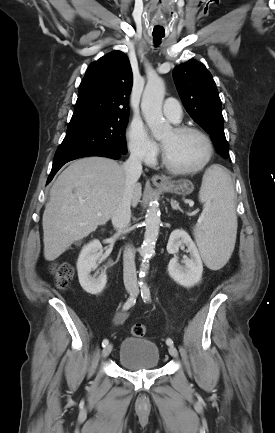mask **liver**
<instances>
[{"mask_svg": "<svg viewBox=\"0 0 275 433\" xmlns=\"http://www.w3.org/2000/svg\"><path fill=\"white\" fill-rule=\"evenodd\" d=\"M125 189L123 167L113 159L86 157L71 163L50 190L43 214L44 257L54 261L69 246L105 225ZM142 195L134 186L132 206Z\"/></svg>", "mask_w": 275, "mask_h": 433, "instance_id": "liver-1", "label": "liver"}]
</instances>
